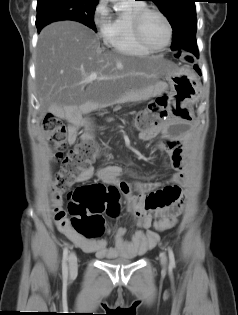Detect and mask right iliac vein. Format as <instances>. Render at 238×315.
<instances>
[{
	"instance_id": "right-iliac-vein-1",
	"label": "right iliac vein",
	"mask_w": 238,
	"mask_h": 315,
	"mask_svg": "<svg viewBox=\"0 0 238 315\" xmlns=\"http://www.w3.org/2000/svg\"><path fill=\"white\" fill-rule=\"evenodd\" d=\"M77 267H78L77 256L74 252H71L69 254V272L71 277L76 275Z\"/></svg>"
}]
</instances>
